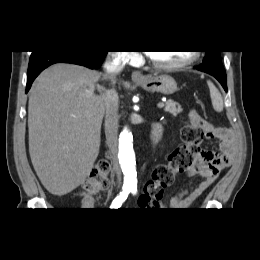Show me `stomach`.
Wrapping results in <instances>:
<instances>
[{
    "instance_id": "0dacf381",
    "label": "stomach",
    "mask_w": 260,
    "mask_h": 260,
    "mask_svg": "<svg viewBox=\"0 0 260 260\" xmlns=\"http://www.w3.org/2000/svg\"><path fill=\"white\" fill-rule=\"evenodd\" d=\"M137 84L148 92H158L163 95H171L178 89L175 79L166 74L149 76L143 81H137Z\"/></svg>"
}]
</instances>
